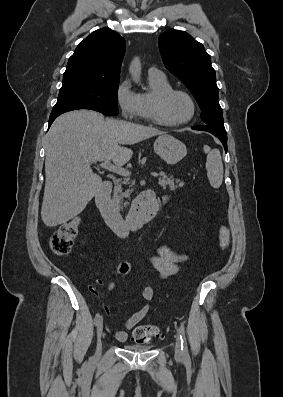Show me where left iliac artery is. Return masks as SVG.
Masks as SVG:
<instances>
[{
  "instance_id": "left-iliac-artery-1",
  "label": "left iliac artery",
  "mask_w": 283,
  "mask_h": 397,
  "mask_svg": "<svg viewBox=\"0 0 283 397\" xmlns=\"http://www.w3.org/2000/svg\"><path fill=\"white\" fill-rule=\"evenodd\" d=\"M178 333H179L180 340H181L182 353H183L185 359L189 360L190 358H189V354H188L187 340H186L185 330H184L183 326H179Z\"/></svg>"
}]
</instances>
